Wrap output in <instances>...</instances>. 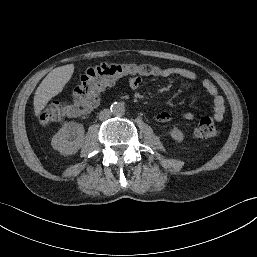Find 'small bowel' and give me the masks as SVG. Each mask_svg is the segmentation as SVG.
Here are the masks:
<instances>
[{"label": "small bowel", "instance_id": "obj_1", "mask_svg": "<svg viewBox=\"0 0 257 257\" xmlns=\"http://www.w3.org/2000/svg\"><path fill=\"white\" fill-rule=\"evenodd\" d=\"M159 75L164 78L177 77L188 81H196L198 75L193 70L183 67H167L159 72ZM140 79L132 77L129 79V85L131 88H138L140 85ZM202 87L211 97L213 103V116L216 120H222L225 113V102L223 97L218 92L216 86L208 79L202 81ZM182 119L186 121H192L195 115L191 111H186L181 115ZM157 122L168 123L172 120V115L169 112L162 111L158 112L153 117Z\"/></svg>", "mask_w": 257, "mask_h": 257}]
</instances>
